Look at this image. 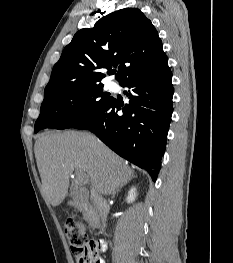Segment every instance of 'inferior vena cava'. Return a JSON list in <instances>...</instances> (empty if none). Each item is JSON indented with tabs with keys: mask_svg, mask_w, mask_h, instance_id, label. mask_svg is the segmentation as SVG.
<instances>
[{
	"mask_svg": "<svg viewBox=\"0 0 233 263\" xmlns=\"http://www.w3.org/2000/svg\"><path fill=\"white\" fill-rule=\"evenodd\" d=\"M92 197L94 200V206L101 218L103 225L106 224L107 221V203L106 200L103 199L95 189L92 191Z\"/></svg>",
	"mask_w": 233,
	"mask_h": 263,
	"instance_id": "inferior-vena-cava-1",
	"label": "inferior vena cava"
}]
</instances>
